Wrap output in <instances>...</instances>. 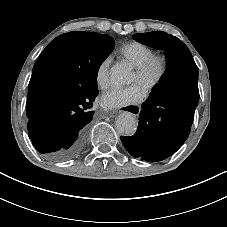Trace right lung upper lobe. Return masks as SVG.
I'll use <instances>...</instances> for the list:
<instances>
[{
	"label": "right lung upper lobe",
	"instance_id": "1",
	"mask_svg": "<svg viewBox=\"0 0 227 227\" xmlns=\"http://www.w3.org/2000/svg\"><path fill=\"white\" fill-rule=\"evenodd\" d=\"M90 33L95 32L74 31L65 35ZM51 45L40 54L33 68L26 104L29 121L39 120L46 106L59 96L74 95L80 83L78 70L57 58L51 51Z\"/></svg>",
	"mask_w": 227,
	"mask_h": 227
}]
</instances>
